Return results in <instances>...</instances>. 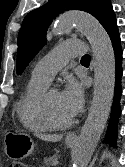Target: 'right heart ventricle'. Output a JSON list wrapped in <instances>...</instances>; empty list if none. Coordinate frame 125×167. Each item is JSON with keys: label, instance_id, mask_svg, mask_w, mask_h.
I'll return each mask as SVG.
<instances>
[{"label": "right heart ventricle", "instance_id": "obj_1", "mask_svg": "<svg viewBox=\"0 0 125 167\" xmlns=\"http://www.w3.org/2000/svg\"><path fill=\"white\" fill-rule=\"evenodd\" d=\"M47 82L31 77L26 91L18 104L17 116L24 128L35 134L50 131L44 122L40 106L41 100L48 87Z\"/></svg>", "mask_w": 125, "mask_h": 167}]
</instances>
